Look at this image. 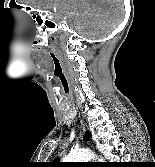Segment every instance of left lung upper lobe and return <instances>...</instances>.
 <instances>
[{
	"label": "left lung upper lobe",
	"instance_id": "5c2ea615",
	"mask_svg": "<svg viewBox=\"0 0 155 167\" xmlns=\"http://www.w3.org/2000/svg\"><path fill=\"white\" fill-rule=\"evenodd\" d=\"M91 136L90 132H86V140H89V137ZM66 163L59 162V159H55L53 162L49 163V167H66Z\"/></svg>",
	"mask_w": 155,
	"mask_h": 167
}]
</instances>
